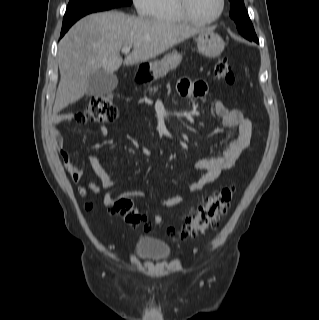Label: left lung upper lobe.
Instances as JSON below:
<instances>
[{
    "mask_svg": "<svg viewBox=\"0 0 319 320\" xmlns=\"http://www.w3.org/2000/svg\"><path fill=\"white\" fill-rule=\"evenodd\" d=\"M230 1V17L235 21L237 30L247 35H256L243 0Z\"/></svg>",
    "mask_w": 319,
    "mask_h": 320,
    "instance_id": "1",
    "label": "left lung upper lobe"
}]
</instances>
